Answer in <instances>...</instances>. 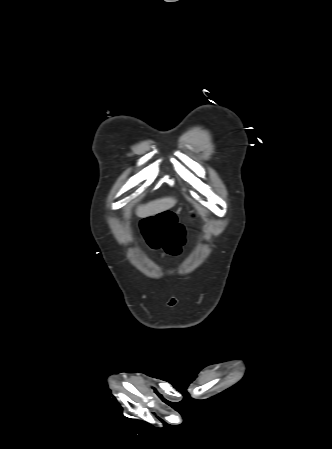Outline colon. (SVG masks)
Masks as SVG:
<instances>
[{"instance_id":"1","label":"colon","mask_w":332,"mask_h":449,"mask_svg":"<svg viewBox=\"0 0 332 449\" xmlns=\"http://www.w3.org/2000/svg\"><path fill=\"white\" fill-rule=\"evenodd\" d=\"M141 229L149 248L163 249L172 256L178 255L186 242L187 229L172 212H162L144 219Z\"/></svg>"}]
</instances>
